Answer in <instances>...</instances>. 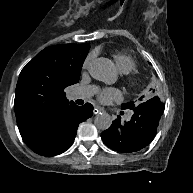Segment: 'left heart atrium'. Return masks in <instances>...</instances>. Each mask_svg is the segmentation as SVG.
<instances>
[{
  "label": "left heart atrium",
  "instance_id": "obj_1",
  "mask_svg": "<svg viewBox=\"0 0 193 193\" xmlns=\"http://www.w3.org/2000/svg\"><path fill=\"white\" fill-rule=\"evenodd\" d=\"M119 95L118 91L113 88H105L101 91L100 97H117Z\"/></svg>",
  "mask_w": 193,
  "mask_h": 193
}]
</instances>
